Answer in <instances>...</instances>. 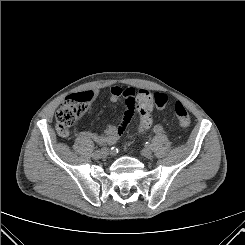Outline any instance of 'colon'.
<instances>
[{"instance_id": "colon-1", "label": "colon", "mask_w": 245, "mask_h": 245, "mask_svg": "<svg viewBox=\"0 0 245 245\" xmlns=\"http://www.w3.org/2000/svg\"><path fill=\"white\" fill-rule=\"evenodd\" d=\"M154 94L147 90H139L136 92V105L140 116L139 132L141 134H145L153 122L152 109L155 106L153 102ZM92 97V92H83L70 95L66 98L56 114V130L61 137L68 136L69 128L74 125L85 112ZM174 111L180 127L184 129L188 128L190 125V116L183 104L177 102Z\"/></svg>"}]
</instances>
